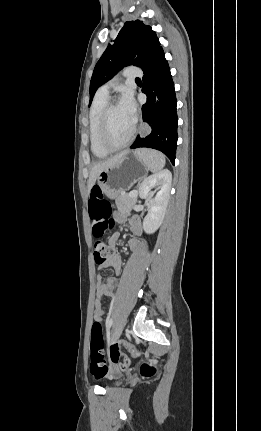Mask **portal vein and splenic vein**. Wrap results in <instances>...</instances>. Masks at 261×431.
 Masks as SVG:
<instances>
[{
	"label": "portal vein and splenic vein",
	"instance_id": "1",
	"mask_svg": "<svg viewBox=\"0 0 261 431\" xmlns=\"http://www.w3.org/2000/svg\"><path fill=\"white\" fill-rule=\"evenodd\" d=\"M137 195V191L136 190H133V191H131L130 193H129V196L130 197H135Z\"/></svg>",
	"mask_w": 261,
	"mask_h": 431
}]
</instances>
